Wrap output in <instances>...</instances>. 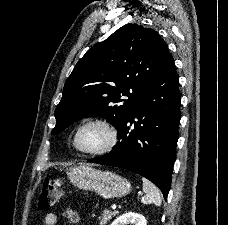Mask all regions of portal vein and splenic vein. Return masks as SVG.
Masks as SVG:
<instances>
[{"mask_svg":"<svg viewBox=\"0 0 228 225\" xmlns=\"http://www.w3.org/2000/svg\"><path fill=\"white\" fill-rule=\"evenodd\" d=\"M135 200H140V195H135ZM134 202L136 203L137 201H134ZM110 207H111V209H117L118 208V204H111Z\"/></svg>","mask_w":228,"mask_h":225,"instance_id":"portal-vein-and-splenic-vein-1","label":"portal vein and splenic vein"}]
</instances>
